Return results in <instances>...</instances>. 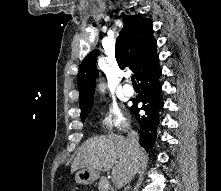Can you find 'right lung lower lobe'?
<instances>
[{
	"instance_id": "98d812e1",
	"label": "right lung lower lobe",
	"mask_w": 221,
	"mask_h": 191,
	"mask_svg": "<svg viewBox=\"0 0 221 191\" xmlns=\"http://www.w3.org/2000/svg\"><path fill=\"white\" fill-rule=\"evenodd\" d=\"M161 69L158 65V60L144 70L136 79L140 81L141 93L137 96V100L133 101L130 110L134 113L140 127V145L146 150H151L155 139L156 130L159 124V112L163 108V103L160 99L162 91L159 77ZM138 102H142L141 109L146 112L140 116L137 107Z\"/></svg>"
}]
</instances>
